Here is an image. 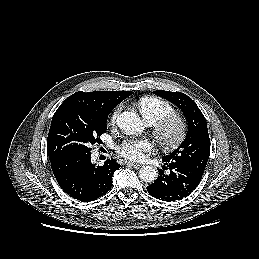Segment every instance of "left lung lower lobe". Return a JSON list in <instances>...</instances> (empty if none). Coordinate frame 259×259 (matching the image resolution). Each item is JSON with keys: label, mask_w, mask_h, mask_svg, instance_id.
I'll return each instance as SVG.
<instances>
[{"label": "left lung lower lobe", "mask_w": 259, "mask_h": 259, "mask_svg": "<svg viewBox=\"0 0 259 259\" xmlns=\"http://www.w3.org/2000/svg\"><path fill=\"white\" fill-rule=\"evenodd\" d=\"M167 167L158 169L159 175L156 181L147 187V191L153 197L162 201H176L187 197L199 184L203 173L196 171L191 165L163 160ZM169 169L168 175L164 170Z\"/></svg>", "instance_id": "left-lung-lower-lobe-1"}]
</instances>
